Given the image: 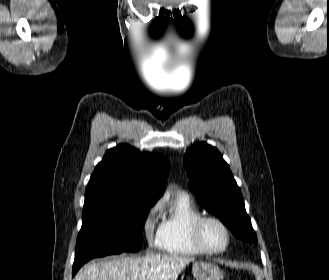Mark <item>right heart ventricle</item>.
<instances>
[{
  "mask_svg": "<svg viewBox=\"0 0 329 280\" xmlns=\"http://www.w3.org/2000/svg\"><path fill=\"white\" fill-rule=\"evenodd\" d=\"M201 215V210L188 194L175 195L166 205L160 249L176 256L201 255L191 239V226Z\"/></svg>",
  "mask_w": 329,
  "mask_h": 280,
  "instance_id": "obj_1",
  "label": "right heart ventricle"
}]
</instances>
